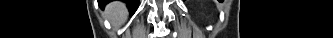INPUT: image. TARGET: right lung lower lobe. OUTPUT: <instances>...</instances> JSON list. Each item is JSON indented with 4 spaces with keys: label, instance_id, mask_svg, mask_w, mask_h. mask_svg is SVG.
<instances>
[{
    "label": "right lung lower lobe",
    "instance_id": "obj_1",
    "mask_svg": "<svg viewBox=\"0 0 333 38\" xmlns=\"http://www.w3.org/2000/svg\"><path fill=\"white\" fill-rule=\"evenodd\" d=\"M125 1L127 4H128V7L130 10H135L138 6V0H123ZM109 0H106V1H99V4L100 5H105L106 3H108Z\"/></svg>",
    "mask_w": 333,
    "mask_h": 38
}]
</instances>
